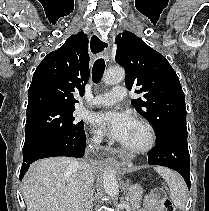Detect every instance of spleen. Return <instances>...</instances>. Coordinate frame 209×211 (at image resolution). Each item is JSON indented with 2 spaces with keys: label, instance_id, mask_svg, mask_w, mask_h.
<instances>
[{
  "label": "spleen",
  "instance_id": "obj_1",
  "mask_svg": "<svg viewBox=\"0 0 209 211\" xmlns=\"http://www.w3.org/2000/svg\"><path fill=\"white\" fill-rule=\"evenodd\" d=\"M155 171L164 178L170 188V198L179 210L185 208L187 202V187L180 175L161 166L155 167Z\"/></svg>",
  "mask_w": 209,
  "mask_h": 211
}]
</instances>
